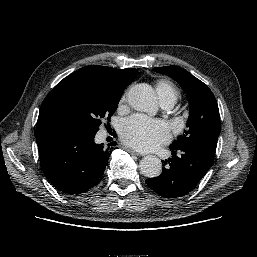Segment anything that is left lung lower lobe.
Segmentation results:
<instances>
[{
  "label": "left lung lower lobe",
  "mask_w": 257,
  "mask_h": 257,
  "mask_svg": "<svg viewBox=\"0 0 257 257\" xmlns=\"http://www.w3.org/2000/svg\"><path fill=\"white\" fill-rule=\"evenodd\" d=\"M170 150L173 157L162 161V173L158 177L147 179L146 183L162 197H183L197 186L209 170L215 151L201 145L171 146Z\"/></svg>",
  "instance_id": "1"
}]
</instances>
